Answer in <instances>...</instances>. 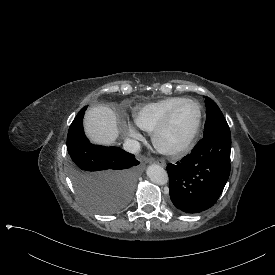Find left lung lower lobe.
<instances>
[{"label":"left lung lower lobe","instance_id":"0a47b994","mask_svg":"<svg viewBox=\"0 0 275 275\" xmlns=\"http://www.w3.org/2000/svg\"><path fill=\"white\" fill-rule=\"evenodd\" d=\"M230 132L203 138L191 154L175 165L169 163L170 198L185 213H199L212 207L230 174Z\"/></svg>","mask_w":275,"mask_h":275}]
</instances>
